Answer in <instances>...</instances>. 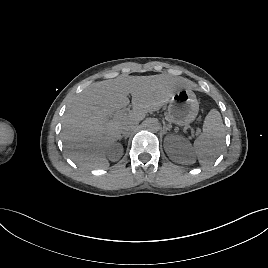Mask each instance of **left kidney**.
<instances>
[{"label":"left kidney","mask_w":268,"mask_h":268,"mask_svg":"<svg viewBox=\"0 0 268 268\" xmlns=\"http://www.w3.org/2000/svg\"><path fill=\"white\" fill-rule=\"evenodd\" d=\"M164 148L174 162L181 164H193L195 162V154L191 144L180 136H167Z\"/></svg>","instance_id":"obj_1"}]
</instances>
